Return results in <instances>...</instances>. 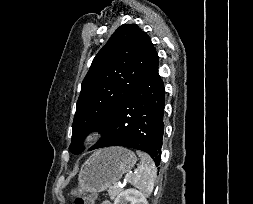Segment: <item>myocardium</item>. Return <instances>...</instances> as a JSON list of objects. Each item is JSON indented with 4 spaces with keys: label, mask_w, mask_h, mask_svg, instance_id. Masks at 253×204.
<instances>
[{
    "label": "myocardium",
    "mask_w": 253,
    "mask_h": 204,
    "mask_svg": "<svg viewBox=\"0 0 253 204\" xmlns=\"http://www.w3.org/2000/svg\"><path fill=\"white\" fill-rule=\"evenodd\" d=\"M99 132L98 131H90L88 132L86 135L83 136V138L81 139V147L82 148H85V147H88L92 144H94L97 139L99 138Z\"/></svg>",
    "instance_id": "f54148a6"
}]
</instances>
